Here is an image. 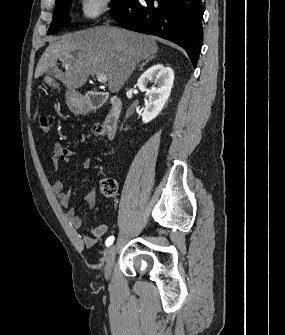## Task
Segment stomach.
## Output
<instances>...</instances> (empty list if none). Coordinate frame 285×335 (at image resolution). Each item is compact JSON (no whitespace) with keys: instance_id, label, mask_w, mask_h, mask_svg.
I'll list each match as a JSON object with an SVG mask.
<instances>
[{"instance_id":"1","label":"stomach","mask_w":285,"mask_h":335,"mask_svg":"<svg viewBox=\"0 0 285 335\" xmlns=\"http://www.w3.org/2000/svg\"><path fill=\"white\" fill-rule=\"evenodd\" d=\"M43 82L48 84V86H53V88H59V84H57L56 80H54L50 74H44ZM67 100L71 106H74L75 110H79V112L84 110L85 102L81 94H77L74 90H70V92H67Z\"/></svg>"}]
</instances>
